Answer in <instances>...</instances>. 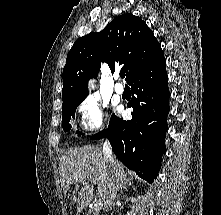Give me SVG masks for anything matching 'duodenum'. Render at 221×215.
Listing matches in <instances>:
<instances>
[{
	"label": "duodenum",
	"instance_id": "obj_1",
	"mask_svg": "<svg viewBox=\"0 0 221 215\" xmlns=\"http://www.w3.org/2000/svg\"><path fill=\"white\" fill-rule=\"evenodd\" d=\"M78 215H88V213L85 210H83V211L79 212Z\"/></svg>",
	"mask_w": 221,
	"mask_h": 215
}]
</instances>
